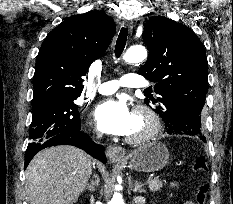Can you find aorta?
Masks as SVG:
<instances>
[{
	"mask_svg": "<svg viewBox=\"0 0 233 204\" xmlns=\"http://www.w3.org/2000/svg\"><path fill=\"white\" fill-rule=\"evenodd\" d=\"M146 58L147 51L142 45H135L130 47L123 55V60L128 63H139L144 61ZM110 204H124V200L120 192L116 191L113 194Z\"/></svg>",
	"mask_w": 233,
	"mask_h": 204,
	"instance_id": "obj_1",
	"label": "aorta"
}]
</instances>
